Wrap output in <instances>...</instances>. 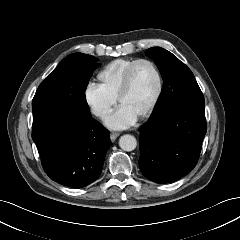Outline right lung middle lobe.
<instances>
[{"label":"right lung middle lobe","mask_w":240,"mask_h":240,"mask_svg":"<svg viewBox=\"0 0 240 240\" xmlns=\"http://www.w3.org/2000/svg\"><path fill=\"white\" fill-rule=\"evenodd\" d=\"M94 56L73 53L64 58L38 87L32 107L58 104L89 110L85 90L94 69L98 66Z\"/></svg>","instance_id":"right-lung-middle-lobe-1"}]
</instances>
